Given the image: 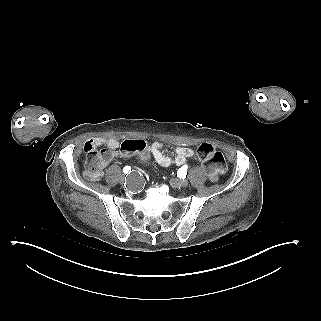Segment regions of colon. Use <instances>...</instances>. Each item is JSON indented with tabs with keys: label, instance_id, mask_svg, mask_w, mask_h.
<instances>
[{
	"label": "colon",
	"instance_id": "1",
	"mask_svg": "<svg viewBox=\"0 0 321 321\" xmlns=\"http://www.w3.org/2000/svg\"><path fill=\"white\" fill-rule=\"evenodd\" d=\"M121 151L126 154H137L147 158L146 144L142 140H126L121 144ZM197 156L202 162L205 172L212 180H217L226 171L224 155L208 142H202L197 149ZM104 155L96 149L86 151L84 172L88 178H94L102 168Z\"/></svg>",
	"mask_w": 321,
	"mask_h": 321
}]
</instances>
